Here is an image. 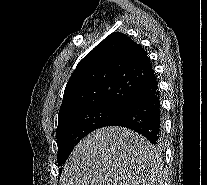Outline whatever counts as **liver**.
I'll list each match as a JSON object with an SVG mask.
<instances>
[{
	"mask_svg": "<svg viewBox=\"0 0 207 185\" xmlns=\"http://www.w3.org/2000/svg\"><path fill=\"white\" fill-rule=\"evenodd\" d=\"M155 157L150 141L139 133L125 127H102L76 145L65 163L60 183L150 185Z\"/></svg>",
	"mask_w": 207,
	"mask_h": 185,
	"instance_id": "liver-1",
	"label": "liver"
}]
</instances>
